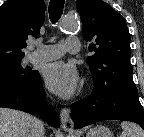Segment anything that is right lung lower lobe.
Returning a JSON list of instances; mask_svg holds the SVG:
<instances>
[{"instance_id": "1", "label": "right lung lower lobe", "mask_w": 144, "mask_h": 137, "mask_svg": "<svg viewBox=\"0 0 144 137\" xmlns=\"http://www.w3.org/2000/svg\"><path fill=\"white\" fill-rule=\"evenodd\" d=\"M46 93L39 79L29 87L0 85V107L37 113L51 126L59 127V117L45 101Z\"/></svg>"}]
</instances>
